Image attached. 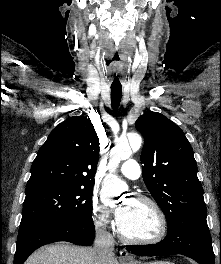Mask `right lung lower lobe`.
I'll return each mask as SVG.
<instances>
[{
	"label": "right lung lower lobe",
	"mask_w": 221,
	"mask_h": 264,
	"mask_svg": "<svg viewBox=\"0 0 221 264\" xmlns=\"http://www.w3.org/2000/svg\"><path fill=\"white\" fill-rule=\"evenodd\" d=\"M94 237L95 227L92 221L75 224L30 223L20 226L14 264H23L33 251L43 245L67 241L90 246Z\"/></svg>",
	"instance_id": "1"
}]
</instances>
